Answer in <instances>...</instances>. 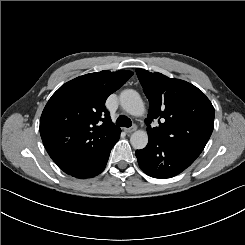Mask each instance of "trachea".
Segmentation results:
<instances>
[{
	"mask_svg": "<svg viewBox=\"0 0 245 245\" xmlns=\"http://www.w3.org/2000/svg\"><path fill=\"white\" fill-rule=\"evenodd\" d=\"M116 125L119 127H130L132 125V121L124 115H120L117 118Z\"/></svg>",
	"mask_w": 245,
	"mask_h": 245,
	"instance_id": "1",
	"label": "trachea"
}]
</instances>
